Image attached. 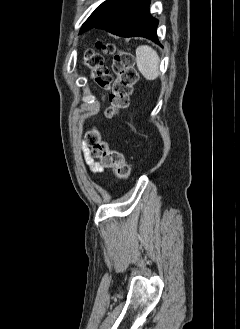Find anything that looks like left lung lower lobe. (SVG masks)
<instances>
[{
	"instance_id": "1",
	"label": "left lung lower lobe",
	"mask_w": 240,
	"mask_h": 329,
	"mask_svg": "<svg viewBox=\"0 0 240 329\" xmlns=\"http://www.w3.org/2000/svg\"><path fill=\"white\" fill-rule=\"evenodd\" d=\"M149 5L147 0H122L93 28L123 37H146L159 44L156 35L158 20L149 14Z\"/></svg>"
}]
</instances>
